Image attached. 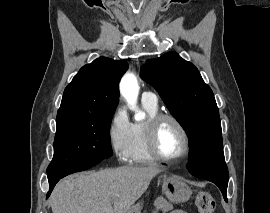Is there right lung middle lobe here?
I'll return each mask as SVG.
<instances>
[{"label": "right lung middle lobe", "instance_id": "dd1d6c3e", "mask_svg": "<svg viewBox=\"0 0 270 213\" xmlns=\"http://www.w3.org/2000/svg\"><path fill=\"white\" fill-rule=\"evenodd\" d=\"M112 115H57L54 156L47 173H62L109 158L112 155L109 136Z\"/></svg>", "mask_w": 270, "mask_h": 213}]
</instances>
